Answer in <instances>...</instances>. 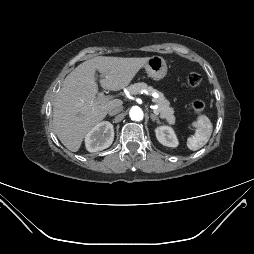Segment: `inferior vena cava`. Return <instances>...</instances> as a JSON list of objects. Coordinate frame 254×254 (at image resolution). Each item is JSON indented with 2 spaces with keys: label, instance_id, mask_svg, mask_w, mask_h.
Wrapping results in <instances>:
<instances>
[{
  "label": "inferior vena cava",
  "instance_id": "1",
  "mask_svg": "<svg viewBox=\"0 0 254 254\" xmlns=\"http://www.w3.org/2000/svg\"><path fill=\"white\" fill-rule=\"evenodd\" d=\"M123 110V106L121 104L113 105L108 109V114L110 116H114L118 113H120Z\"/></svg>",
  "mask_w": 254,
  "mask_h": 254
}]
</instances>
